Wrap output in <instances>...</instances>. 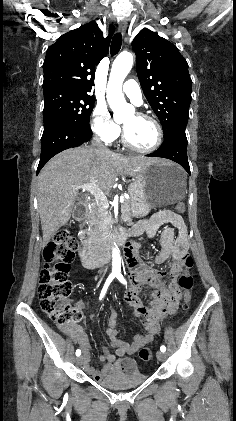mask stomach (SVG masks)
I'll return each instance as SVG.
<instances>
[{
    "label": "stomach",
    "instance_id": "stomach-1",
    "mask_svg": "<svg viewBox=\"0 0 236 421\" xmlns=\"http://www.w3.org/2000/svg\"><path fill=\"white\" fill-rule=\"evenodd\" d=\"M131 215L146 217L152 206H167L183 200L186 192V174L173 162H150L140 166L128 186Z\"/></svg>",
    "mask_w": 236,
    "mask_h": 421
}]
</instances>
